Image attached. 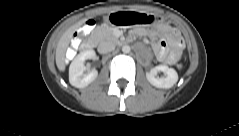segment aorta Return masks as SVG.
<instances>
[{
    "instance_id": "762f6f07",
    "label": "aorta",
    "mask_w": 239,
    "mask_h": 136,
    "mask_svg": "<svg viewBox=\"0 0 239 136\" xmlns=\"http://www.w3.org/2000/svg\"><path fill=\"white\" fill-rule=\"evenodd\" d=\"M130 46H128V45H124L123 47H122V52L123 53H129L130 52Z\"/></svg>"
}]
</instances>
